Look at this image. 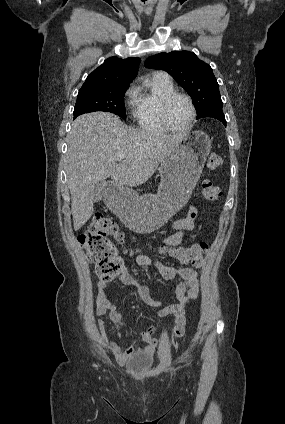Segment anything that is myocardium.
<instances>
[{
  "mask_svg": "<svg viewBox=\"0 0 285 424\" xmlns=\"http://www.w3.org/2000/svg\"><path fill=\"white\" fill-rule=\"evenodd\" d=\"M177 97H182V98L186 99V100H187V102L189 103V105H190V109H191V117H190V120H189V122L187 123V125H186L185 127H182V128L174 127V126L170 123V121H169V119H168V108H169V106H170L171 102H172L175 98H177ZM196 116H197V111H196L195 104H194V102H193L192 98H191L189 95L185 94V93H181V92H178V91H174V92L170 93L169 95H167V96H166V97L162 100V102H161V105H160V118H161V121H162V123L164 124V126H165V127H166L169 131H173V132H176V133H185V132H187V131H188V130H190V129H191V127L193 126V124H194V122H195V119H196Z\"/></svg>",
  "mask_w": 285,
  "mask_h": 424,
  "instance_id": "f54148a6",
  "label": "myocardium"
}]
</instances>
